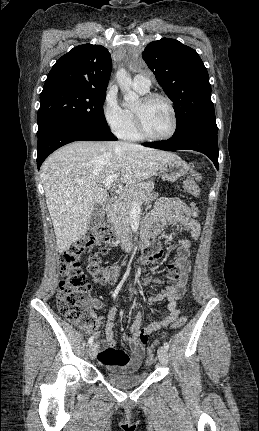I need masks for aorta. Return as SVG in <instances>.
<instances>
[{"label":"aorta","mask_w":259,"mask_h":431,"mask_svg":"<svg viewBox=\"0 0 259 431\" xmlns=\"http://www.w3.org/2000/svg\"><path fill=\"white\" fill-rule=\"evenodd\" d=\"M116 81L120 87V90L124 93V101L126 102V105L128 107H134L136 104H138L140 98L138 94L131 90V76L124 68H121L117 71Z\"/></svg>","instance_id":"aorta-1"}]
</instances>
